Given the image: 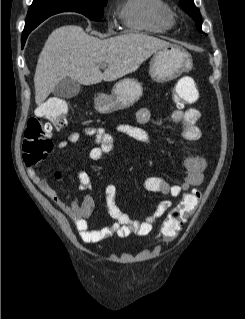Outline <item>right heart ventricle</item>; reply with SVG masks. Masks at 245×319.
<instances>
[{
	"label": "right heart ventricle",
	"instance_id": "right-heart-ventricle-1",
	"mask_svg": "<svg viewBox=\"0 0 245 319\" xmlns=\"http://www.w3.org/2000/svg\"><path fill=\"white\" fill-rule=\"evenodd\" d=\"M119 19L129 29L153 34L165 33L173 25V13L165 0H124Z\"/></svg>",
	"mask_w": 245,
	"mask_h": 319
}]
</instances>
